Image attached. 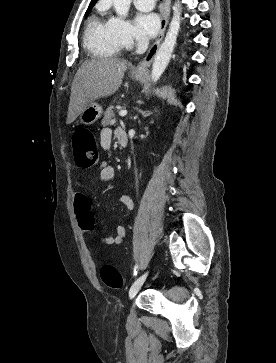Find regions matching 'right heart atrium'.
<instances>
[{
	"instance_id": "1",
	"label": "right heart atrium",
	"mask_w": 276,
	"mask_h": 363,
	"mask_svg": "<svg viewBox=\"0 0 276 363\" xmlns=\"http://www.w3.org/2000/svg\"><path fill=\"white\" fill-rule=\"evenodd\" d=\"M110 22L123 47H130L140 42L130 22L119 17H112Z\"/></svg>"
}]
</instances>
